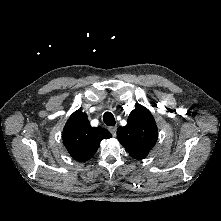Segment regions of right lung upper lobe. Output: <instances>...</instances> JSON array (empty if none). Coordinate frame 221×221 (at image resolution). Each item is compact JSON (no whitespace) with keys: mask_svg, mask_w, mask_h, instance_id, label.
<instances>
[{"mask_svg":"<svg viewBox=\"0 0 221 221\" xmlns=\"http://www.w3.org/2000/svg\"><path fill=\"white\" fill-rule=\"evenodd\" d=\"M111 137L108 130L91 127L87 115L80 110L70 116L63 130L64 145L79 162L90 159L99 148L100 142Z\"/></svg>","mask_w":221,"mask_h":221,"instance_id":"obj_1","label":"right lung upper lobe"}]
</instances>
